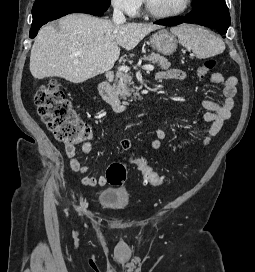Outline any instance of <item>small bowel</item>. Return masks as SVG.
<instances>
[{
    "instance_id": "1",
    "label": "small bowel",
    "mask_w": 255,
    "mask_h": 272,
    "mask_svg": "<svg viewBox=\"0 0 255 272\" xmlns=\"http://www.w3.org/2000/svg\"><path fill=\"white\" fill-rule=\"evenodd\" d=\"M187 78V74L178 69H169L160 71L156 74V79L159 81L165 80H184ZM210 83L219 85L222 87L224 102L219 103L215 100L205 99L202 101L203 107L208 111L204 118L210 124L207 136L204 140V144H208L209 141L216 136L221 130L224 121L228 120L231 116V111L235 106V95L236 85L238 79L236 76H229L225 78L221 73L215 72L210 77ZM166 133L163 129L156 130L155 138L151 141V148L158 150L164 139ZM119 144L124 151H128L132 147L131 140L128 138H122ZM82 152L85 154L91 153L93 149L92 142L90 140L84 142L81 146ZM66 154L69 158L70 167L75 172H80L83 176L81 177V183L84 186H105L107 184V178L104 175L94 178L86 175L87 167L82 165L76 158L75 148H66Z\"/></svg>"
}]
</instances>
